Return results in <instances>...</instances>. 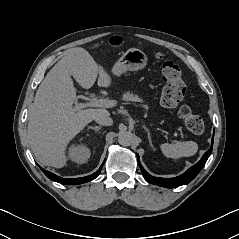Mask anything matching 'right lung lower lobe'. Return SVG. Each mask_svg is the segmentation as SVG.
Instances as JSON below:
<instances>
[{"instance_id":"98d812e1","label":"right lung lower lobe","mask_w":239,"mask_h":239,"mask_svg":"<svg viewBox=\"0 0 239 239\" xmlns=\"http://www.w3.org/2000/svg\"><path fill=\"white\" fill-rule=\"evenodd\" d=\"M102 166H103V164L98 169V171H96L94 174H92L90 176L81 177V178H73V179L61 178V177H59V176H57V175H55V174H53L49 171H46V170L42 169L41 167L40 168L49 179H51L55 182L65 184V185H74V184L79 185V184L86 183V182H89V181L95 179L100 174Z\"/></svg>"}]
</instances>
